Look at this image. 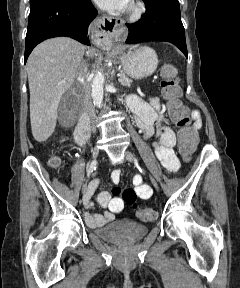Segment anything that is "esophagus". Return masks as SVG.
Listing matches in <instances>:
<instances>
[{"instance_id":"esophagus-1","label":"esophagus","mask_w":240,"mask_h":288,"mask_svg":"<svg viewBox=\"0 0 240 288\" xmlns=\"http://www.w3.org/2000/svg\"><path fill=\"white\" fill-rule=\"evenodd\" d=\"M121 22L109 16L98 17L95 21L96 42L105 47L112 46V38Z\"/></svg>"}]
</instances>
